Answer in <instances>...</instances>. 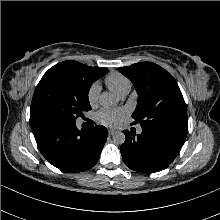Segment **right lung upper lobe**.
<instances>
[{"label": "right lung upper lobe", "instance_id": "1", "mask_svg": "<svg viewBox=\"0 0 220 220\" xmlns=\"http://www.w3.org/2000/svg\"><path fill=\"white\" fill-rule=\"evenodd\" d=\"M99 68V67H98ZM100 69H103L104 71L108 70L107 68H100ZM105 75V74H104Z\"/></svg>", "mask_w": 220, "mask_h": 220}]
</instances>
